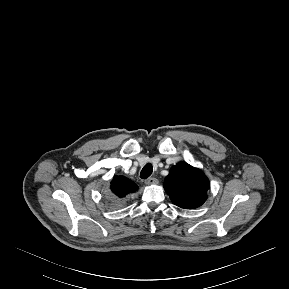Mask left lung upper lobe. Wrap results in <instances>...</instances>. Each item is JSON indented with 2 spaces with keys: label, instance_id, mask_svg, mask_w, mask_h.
Wrapping results in <instances>:
<instances>
[{
  "label": "left lung upper lobe",
  "instance_id": "1",
  "mask_svg": "<svg viewBox=\"0 0 289 289\" xmlns=\"http://www.w3.org/2000/svg\"><path fill=\"white\" fill-rule=\"evenodd\" d=\"M210 183L205 174L191 165L180 162L170 169L164 189L172 202L184 209H193L207 199Z\"/></svg>",
  "mask_w": 289,
  "mask_h": 289
}]
</instances>
